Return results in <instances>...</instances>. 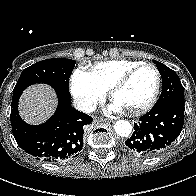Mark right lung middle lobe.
<instances>
[{"mask_svg":"<svg viewBox=\"0 0 196 196\" xmlns=\"http://www.w3.org/2000/svg\"><path fill=\"white\" fill-rule=\"evenodd\" d=\"M75 61L71 59L52 58L37 62L23 70L13 90V95L36 83H46L64 95L69 93V77Z\"/></svg>","mask_w":196,"mask_h":196,"instance_id":"right-lung-middle-lobe-1","label":"right lung middle lobe"}]
</instances>
